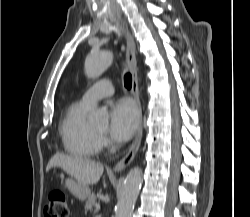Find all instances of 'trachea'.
Masks as SVG:
<instances>
[{"label":"trachea","mask_w":250,"mask_h":217,"mask_svg":"<svg viewBox=\"0 0 250 217\" xmlns=\"http://www.w3.org/2000/svg\"><path fill=\"white\" fill-rule=\"evenodd\" d=\"M124 86L127 89H130L132 87V75L130 73H126L124 76Z\"/></svg>","instance_id":"obj_1"}]
</instances>
